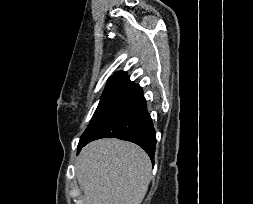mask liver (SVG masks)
<instances>
[{
    "mask_svg": "<svg viewBox=\"0 0 253 204\" xmlns=\"http://www.w3.org/2000/svg\"><path fill=\"white\" fill-rule=\"evenodd\" d=\"M75 166L85 204H141L151 179L147 153L116 138L86 145Z\"/></svg>",
    "mask_w": 253,
    "mask_h": 204,
    "instance_id": "6515ba94",
    "label": "liver"
}]
</instances>
